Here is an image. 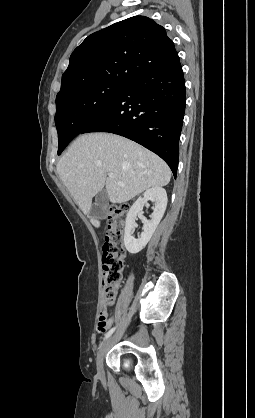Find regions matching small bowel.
<instances>
[{"label": "small bowel", "mask_w": 255, "mask_h": 418, "mask_svg": "<svg viewBox=\"0 0 255 418\" xmlns=\"http://www.w3.org/2000/svg\"><path fill=\"white\" fill-rule=\"evenodd\" d=\"M112 322H113V317H109L108 319H107V321H106V326H105V329H103V330H99L100 332H104L111 324H112Z\"/></svg>", "instance_id": "obj_1"}]
</instances>
